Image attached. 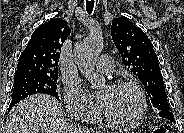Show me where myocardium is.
Wrapping results in <instances>:
<instances>
[{
	"instance_id": "obj_1",
	"label": "myocardium",
	"mask_w": 184,
	"mask_h": 133,
	"mask_svg": "<svg viewBox=\"0 0 184 133\" xmlns=\"http://www.w3.org/2000/svg\"><path fill=\"white\" fill-rule=\"evenodd\" d=\"M111 87L133 89L139 98V109L133 116L126 118V119L112 118V117L108 116L107 114H105L101 110L100 114H101L102 119H104L109 124H112V125L118 126V127L130 126V125H133V124L137 123L138 121H140L143 118V116L145 115V113L147 111V106H148L147 97H146V94H145L143 88L137 82H135L133 80H120V81L113 83L111 85Z\"/></svg>"
}]
</instances>
